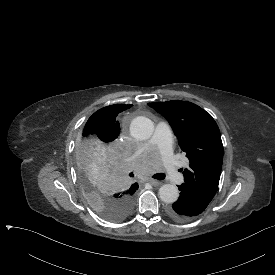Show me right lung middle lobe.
I'll return each mask as SVG.
<instances>
[{
	"instance_id": "dd1d6c3e",
	"label": "right lung middle lobe",
	"mask_w": 275,
	"mask_h": 275,
	"mask_svg": "<svg viewBox=\"0 0 275 275\" xmlns=\"http://www.w3.org/2000/svg\"><path fill=\"white\" fill-rule=\"evenodd\" d=\"M77 155L87 203L105 219L126 218L133 205L124 193L129 153L117 146L106 147L96 135L83 134L77 140Z\"/></svg>"
}]
</instances>
